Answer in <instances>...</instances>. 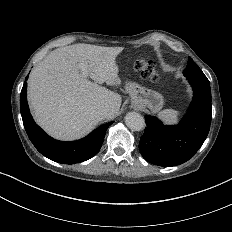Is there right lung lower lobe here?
<instances>
[{"instance_id":"right-lung-lower-lobe-1","label":"right lung lower lobe","mask_w":232,"mask_h":232,"mask_svg":"<svg viewBox=\"0 0 232 232\" xmlns=\"http://www.w3.org/2000/svg\"><path fill=\"white\" fill-rule=\"evenodd\" d=\"M27 79L28 77H26ZM26 94L27 83L24 82L20 97V111L23 124L29 139L41 154L58 163L75 164L86 161L98 153L102 146L105 132L113 121L101 125L83 139L71 142L58 141L48 136L36 125L29 112Z\"/></svg>"}]
</instances>
